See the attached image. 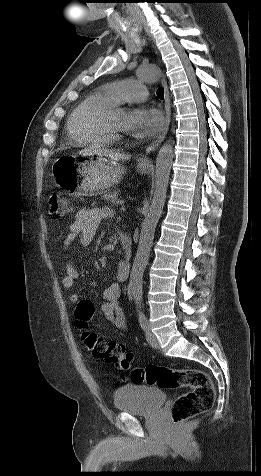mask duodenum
<instances>
[{
    "instance_id": "410a0bca",
    "label": "duodenum",
    "mask_w": 261,
    "mask_h": 476,
    "mask_svg": "<svg viewBox=\"0 0 261 476\" xmlns=\"http://www.w3.org/2000/svg\"><path fill=\"white\" fill-rule=\"evenodd\" d=\"M119 243L121 245V248L124 252L126 260L123 261V269L126 272H129L130 264H129V259L131 257L132 253V241L131 238L126 234V233H119Z\"/></svg>"
}]
</instances>
